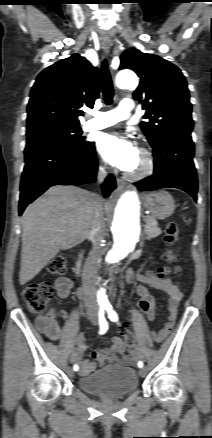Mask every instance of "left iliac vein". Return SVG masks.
I'll use <instances>...</instances> for the list:
<instances>
[{
    "instance_id": "left-iliac-vein-1",
    "label": "left iliac vein",
    "mask_w": 212,
    "mask_h": 438,
    "mask_svg": "<svg viewBox=\"0 0 212 438\" xmlns=\"http://www.w3.org/2000/svg\"><path fill=\"white\" fill-rule=\"evenodd\" d=\"M146 373H147V369L144 367V368H141L140 370H139V374H140V376H145L146 375Z\"/></svg>"
}]
</instances>
